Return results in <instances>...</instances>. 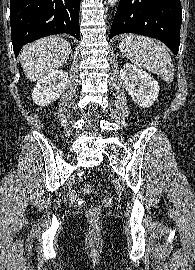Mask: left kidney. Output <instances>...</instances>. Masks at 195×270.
Returning a JSON list of instances; mask_svg holds the SVG:
<instances>
[{"label":"left kidney","instance_id":"1","mask_svg":"<svg viewBox=\"0 0 195 270\" xmlns=\"http://www.w3.org/2000/svg\"><path fill=\"white\" fill-rule=\"evenodd\" d=\"M120 77L128 94L140 107L153 105L159 94V84L144 70L126 63L120 70Z\"/></svg>","mask_w":195,"mask_h":270}]
</instances>
